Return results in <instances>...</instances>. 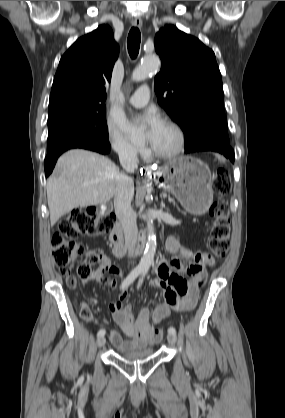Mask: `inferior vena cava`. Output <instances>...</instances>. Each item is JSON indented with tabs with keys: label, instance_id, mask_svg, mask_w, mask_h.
Listing matches in <instances>:
<instances>
[{
	"label": "inferior vena cava",
	"instance_id": "1",
	"mask_svg": "<svg viewBox=\"0 0 285 418\" xmlns=\"http://www.w3.org/2000/svg\"><path fill=\"white\" fill-rule=\"evenodd\" d=\"M120 164L127 173L133 172L138 167L137 151L130 145H120L116 148ZM134 196L133 179L126 173H120L116 178V192L114 196L115 214L120 221L125 236V246L132 255L138 239L136 215L131 201Z\"/></svg>",
	"mask_w": 285,
	"mask_h": 418
}]
</instances>
